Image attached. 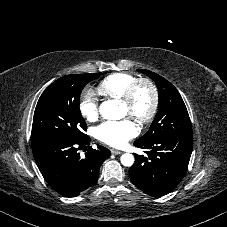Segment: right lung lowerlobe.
<instances>
[{
    "label": "right lung lower lobe",
    "instance_id": "1",
    "mask_svg": "<svg viewBox=\"0 0 227 227\" xmlns=\"http://www.w3.org/2000/svg\"><path fill=\"white\" fill-rule=\"evenodd\" d=\"M89 141L88 136L81 140L51 139L32 147L44 179L59 194L75 197L96 183L100 166L111 153L97 145V149L90 147L81 158L78 150Z\"/></svg>",
    "mask_w": 227,
    "mask_h": 227
}]
</instances>
